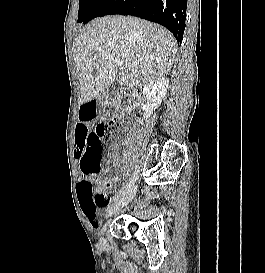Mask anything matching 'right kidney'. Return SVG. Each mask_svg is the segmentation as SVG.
Returning <instances> with one entry per match:
<instances>
[{"mask_svg": "<svg viewBox=\"0 0 265 273\" xmlns=\"http://www.w3.org/2000/svg\"><path fill=\"white\" fill-rule=\"evenodd\" d=\"M168 83L169 81L165 77H158L144 85L143 95L147 100V106L143 115L144 119H148L159 107L167 92Z\"/></svg>", "mask_w": 265, "mask_h": 273, "instance_id": "1", "label": "right kidney"}]
</instances>
